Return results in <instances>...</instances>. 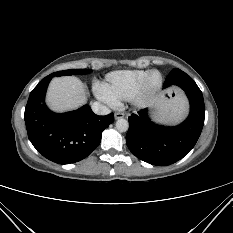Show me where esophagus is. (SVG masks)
<instances>
[{"mask_svg":"<svg viewBox=\"0 0 233 233\" xmlns=\"http://www.w3.org/2000/svg\"><path fill=\"white\" fill-rule=\"evenodd\" d=\"M114 116H115V119H120V118L124 117V113H122V112H116Z\"/></svg>","mask_w":233,"mask_h":233,"instance_id":"obj_1","label":"esophagus"}]
</instances>
